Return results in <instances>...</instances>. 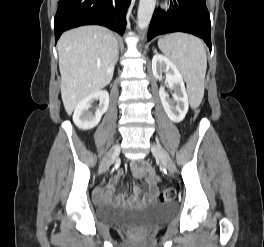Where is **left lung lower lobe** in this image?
I'll list each match as a JSON object with an SVG mask.
<instances>
[{
	"label": "left lung lower lobe",
	"instance_id": "1",
	"mask_svg": "<svg viewBox=\"0 0 264 247\" xmlns=\"http://www.w3.org/2000/svg\"><path fill=\"white\" fill-rule=\"evenodd\" d=\"M172 9L154 11L147 40L171 32H186L202 38L211 50L210 15L205 0H170Z\"/></svg>",
	"mask_w": 264,
	"mask_h": 247
}]
</instances>
